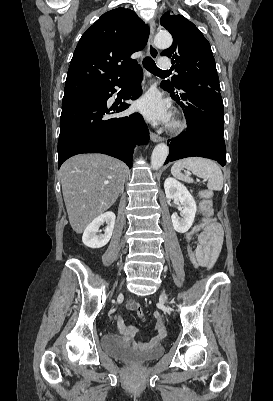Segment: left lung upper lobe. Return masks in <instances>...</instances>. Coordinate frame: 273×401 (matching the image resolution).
Wrapping results in <instances>:
<instances>
[{"label": "left lung upper lobe", "instance_id": "obj_1", "mask_svg": "<svg viewBox=\"0 0 273 401\" xmlns=\"http://www.w3.org/2000/svg\"><path fill=\"white\" fill-rule=\"evenodd\" d=\"M161 26L173 36V44L161 55L172 58L175 71L171 81L162 84L167 90L188 86H206L220 91L215 60L209 42L197 27L182 15L166 12Z\"/></svg>", "mask_w": 273, "mask_h": 401}]
</instances>
